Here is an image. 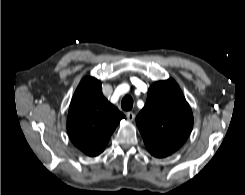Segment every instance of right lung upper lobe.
<instances>
[{
    "instance_id": "cb5924a9",
    "label": "right lung upper lobe",
    "mask_w": 245,
    "mask_h": 195,
    "mask_svg": "<svg viewBox=\"0 0 245 195\" xmlns=\"http://www.w3.org/2000/svg\"><path fill=\"white\" fill-rule=\"evenodd\" d=\"M124 114L102 94L101 83L85 77L72 98L67 131L72 143L88 156L99 155Z\"/></svg>"
}]
</instances>
